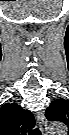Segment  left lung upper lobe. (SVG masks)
<instances>
[{"mask_svg":"<svg viewBox=\"0 0 69 135\" xmlns=\"http://www.w3.org/2000/svg\"><path fill=\"white\" fill-rule=\"evenodd\" d=\"M69 101L58 99L51 103L45 112L49 121H62L67 123L69 119Z\"/></svg>","mask_w":69,"mask_h":135,"instance_id":"left-lung-upper-lobe-1","label":"left lung upper lobe"}]
</instances>
